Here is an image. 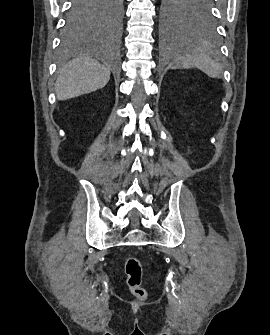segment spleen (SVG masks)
Returning <instances> with one entry per match:
<instances>
[{
	"label": "spleen",
	"instance_id": "1",
	"mask_svg": "<svg viewBox=\"0 0 270 335\" xmlns=\"http://www.w3.org/2000/svg\"><path fill=\"white\" fill-rule=\"evenodd\" d=\"M170 66H177V68H198V70H202L210 78H218L222 74L220 64H216L210 56L204 54L196 44H189V42L177 44L175 60Z\"/></svg>",
	"mask_w": 270,
	"mask_h": 335
}]
</instances>
